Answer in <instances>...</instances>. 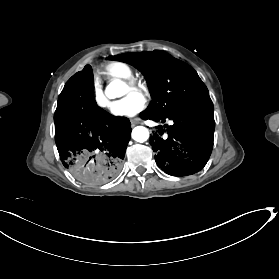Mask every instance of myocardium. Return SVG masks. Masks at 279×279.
<instances>
[{"label": "myocardium", "mask_w": 279, "mask_h": 279, "mask_svg": "<svg viewBox=\"0 0 279 279\" xmlns=\"http://www.w3.org/2000/svg\"><path fill=\"white\" fill-rule=\"evenodd\" d=\"M123 85L127 86L135 94L146 95L148 92L146 83L138 80L135 77H130L123 80Z\"/></svg>", "instance_id": "1"}]
</instances>
